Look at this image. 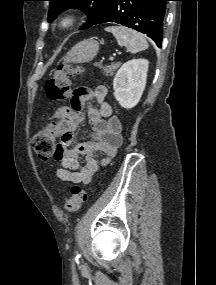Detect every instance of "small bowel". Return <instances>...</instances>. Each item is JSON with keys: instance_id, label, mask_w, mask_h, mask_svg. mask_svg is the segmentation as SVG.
I'll return each instance as SVG.
<instances>
[{"instance_id": "obj_1", "label": "small bowel", "mask_w": 216, "mask_h": 285, "mask_svg": "<svg viewBox=\"0 0 216 285\" xmlns=\"http://www.w3.org/2000/svg\"><path fill=\"white\" fill-rule=\"evenodd\" d=\"M107 96L105 86H98L94 90L80 87L74 91L66 118L55 129L60 143L53 158L61 163L56 171L60 180L89 184L98 170L95 154L99 152L105 155L102 165H106L116 155L122 143L121 124L113 115ZM87 103L90 104L87 116L91 140L76 142V129L84 122L83 107ZM81 156L85 159L84 163L80 160Z\"/></svg>"}]
</instances>
